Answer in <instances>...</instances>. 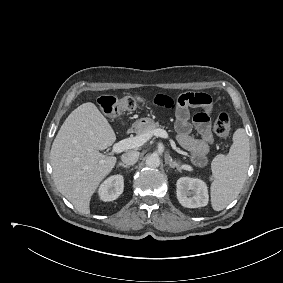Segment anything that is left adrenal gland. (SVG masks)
Wrapping results in <instances>:
<instances>
[{"instance_id":"1","label":"left adrenal gland","mask_w":283,"mask_h":283,"mask_svg":"<svg viewBox=\"0 0 283 283\" xmlns=\"http://www.w3.org/2000/svg\"><path fill=\"white\" fill-rule=\"evenodd\" d=\"M166 163L169 164L170 168H176L178 172L182 171V167L176 161H173L170 156L166 157Z\"/></svg>"}]
</instances>
